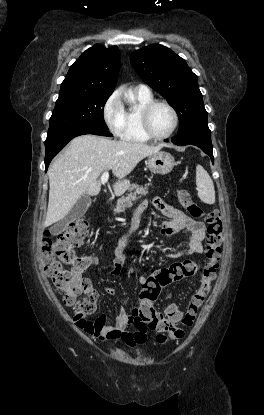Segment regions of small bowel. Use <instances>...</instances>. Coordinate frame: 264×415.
<instances>
[{
    "instance_id": "1",
    "label": "small bowel",
    "mask_w": 264,
    "mask_h": 415,
    "mask_svg": "<svg viewBox=\"0 0 264 415\" xmlns=\"http://www.w3.org/2000/svg\"><path fill=\"white\" fill-rule=\"evenodd\" d=\"M152 204L164 216L169 218V220L163 221L161 224V234L163 238L166 240H171L173 238L182 236L187 241V246L185 248L168 253L167 256L169 258L192 257L203 252V240L205 238L206 229L202 222L190 219L182 211L164 203L159 197H154ZM142 213L143 208L138 209V211L131 219L128 232L116 251L114 264L112 268L104 273L105 276L115 278L122 273L126 263V250L130 243V237L136 228L133 226V220L134 218H137L140 221ZM183 230H186L185 234H182ZM150 278L151 277L147 275H141L139 277V284L144 287V284ZM107 291L110 295L115 297L117 296V293L113 288H108ZM137 310L138 309H135L132 314H127L122 308L116 318V322L112 325L107 324V314L102 313L94 321V327L91 330H85L88 333L93 334L101 339L119 338L131 346L142 344L146 339V334L130 330V326L133 323ZM138 334L142 336L141 341L135 340V336Z\"/></svg>"
}]
</instances>
